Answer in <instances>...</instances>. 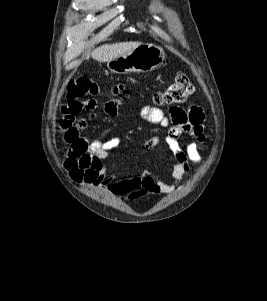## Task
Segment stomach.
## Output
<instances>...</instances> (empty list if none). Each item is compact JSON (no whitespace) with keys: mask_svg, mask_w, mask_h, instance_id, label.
<instances>
[{"mask_svg":"<svg viewBox=\"0 0 267 301\" xmlns=\"http://www.w3.org/2000/svg\"><path fill=\"white\" fill-rule=\"evenodd\" d=\"M165 60L164 50L154 44H141L137 48L107 62L108 69L117 74L147 73L158 69Z\"/></svg>","mask_w":267,"mask_h":301,"instance_id":"stomach-1","label":"stomach"}]
</instances>
